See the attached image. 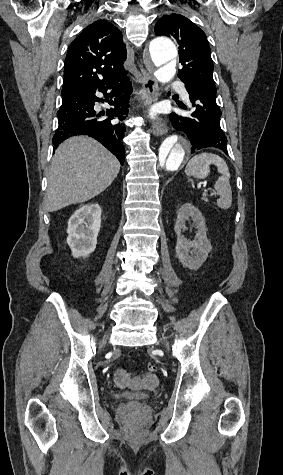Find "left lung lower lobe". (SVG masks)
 <instances>
[{"label": "left lung lower lobe", "mask_w": 283, "mask_h": 475, "mask_svg": "<svg viewBox=\"0 0 283 475\" xmlns=\"http://www.w3.org/2000/svg\"><path fill=\"white\" fill-rule=\"evenodd\" d=\"M185 84L192 107L187 116L170 114L174 128L187 135L192 146L191 153L215 147L227 154V138L220 126L221 110L216 103V88L197 83Z\"/></svg>", "instance_id": "obj_1"}]
</instances>
